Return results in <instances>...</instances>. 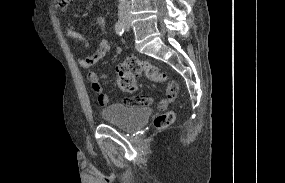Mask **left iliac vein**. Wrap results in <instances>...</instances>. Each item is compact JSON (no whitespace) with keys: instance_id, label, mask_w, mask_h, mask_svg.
<instances>
[{"instance_id":"obj_1","label":"left iliac vein","mask_w":285,"mask_h":183,"mask_svg":"<svg viewBox=\"0 0 285 183\" xmlns=\"http://www.w3.org/2000/svg\"><path fill=\"white\" fill-rule=\"evenodd\" d=\"M125 29H126L127 31L130 30V23H129V21L125 24Z\"/></svg>"}]
</instances>
